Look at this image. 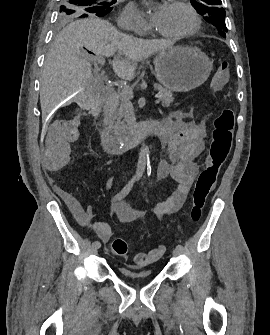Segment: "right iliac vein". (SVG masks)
I'll use <instances>...</instances> for the list:
<instances>
[{
  "label": "right iliac vein",
  "mask_w": 270,
  "mask_h": 335,
  "mask_svg": "<svg viewBox=\"0 0 270 335\" xmlns=\"http://www.w3.org/2000/svg\"><path fill=\"white\" fill-rule=\"evenodd\" d=\"M98 249H99V248H97V247H95V246H92V247H91V251H92L93 254H97Z\"/></svg>",
  "instance_id": "1"
}]
</instances>
